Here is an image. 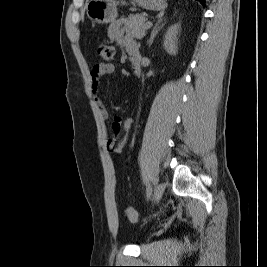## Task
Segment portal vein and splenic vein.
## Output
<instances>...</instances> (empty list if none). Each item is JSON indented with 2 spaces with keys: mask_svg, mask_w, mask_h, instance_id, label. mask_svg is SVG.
Here are the masks:
<instances>
[{
  "mask_svg": "<svg viewBox=\"0 0 267 267\" xmlns=\"http://www.w3.org/2000/svg\"><path fill=\"white\" fill-rule=\"evenodd\" d=\"M153 23L151 21H148L146 23V29H149L150 27H152Z\"/></svg>",
  "mask_w": 267,
  "mask_h": 267,
  "instance_id": "1",
  "label": "portal vein and splenic vein"
}]
</instances>
